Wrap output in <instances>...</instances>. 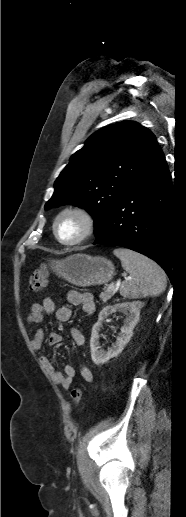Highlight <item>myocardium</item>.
Here are the masks:
<instances>
[{"label":"myocardium","instance_id":"obj_1","mask_svg":"<svg viewBox=\"0 0 186 517\" xmlns=\"http://www.w3.org/2000/svg\"><path fill=\"white\" fill-rule=\"evenodd\" d=\"M74 215L80 218L83 223L82 232L73 240H62L57 232V226L62 217ZM95 229V219L89 210L82 206L71 205L63 208L54 218L52 231L56 240L64 246H75L89 238Z\"/></svg>","mask_w":186,"mask_h":517}]
</instances>
